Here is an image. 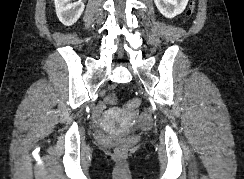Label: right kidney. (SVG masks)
<instances>
[{
	"label": "right kidney",
	"mask_w": 244,
	"mask_h": 179,
	"mask_svg": "<svg viewBox=\"0 0 244 179\" xmlns=\"http://www.w3.org/2000/svg\"><path fill=\"white\" fill-rule=\"evenodd\" d=\"M56 14L64 26H73L79 20L85 6L82 0L73 2L71 0H54Z\"/></svg>",
	"instance_id": "ca27d5eb"
}]
</instances>
